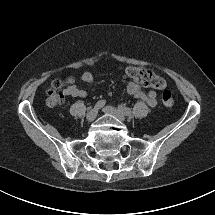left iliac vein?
<instances>
[{
	"instance_id": "1",
	"label": "left iliac vein",
	"mask_w": 215,
	"mask_h": 215,
	"mask_svg": "<svg viewBox=\"0 0 215 215\" xmlns=\"http://www.w3.org/2000/svg\"><path fill=\"white\" fill-rule=\"evenodd\" d=\"M103 111L109 115H112L114 117H116L117 119H119L120 121H125L127 119L126 114H124L123 112H121L120 110L115 109L112 106H106L103 108Z\"/></svg>"
}]
</instances>
